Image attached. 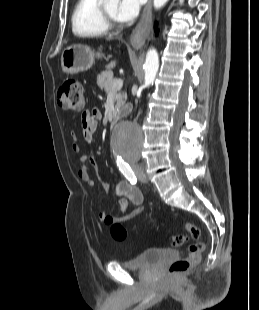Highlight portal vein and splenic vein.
<instances>
[{
	"label": "portal vein and splenic vein",
	"instance_id": "1",
	"mask_svg": "<svg viewBox=\"0 0 259 310\" xmlns=\"http://www.w3.org/2000/svg\"><path fill=\"white\" fill-rule=\"evenodd\" d=\"M123 86V80L122 79H116L114 80L112 87H111V91L113 90H120Z\"/></svg>",
	"mask_w": 259,
	"mask_h": 310
}]
</instances>
